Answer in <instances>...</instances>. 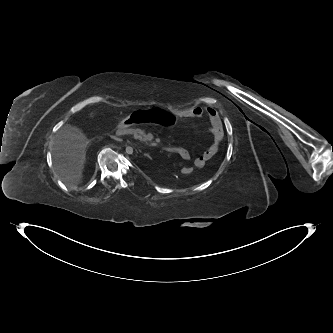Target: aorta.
Segmentation results:
<instances>
[{
  "instance_id": "obj_1",
  "label": "aorta",
  "mask_w": 333,
  "mask_h": 333,
  "mask_svg": "<svg viewBox=\"0 0 333 333\" xmlns=\"http://www.w3.org/2000/svg\"><path fill=\"white\" fill-rule=\"evenodd\" d=\"M126 152L127 154H132L133 153V148L131 146L126 147Z\"/></svg>"
}]
</instances>
